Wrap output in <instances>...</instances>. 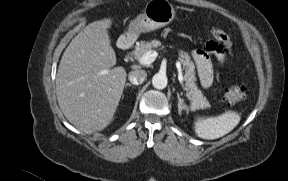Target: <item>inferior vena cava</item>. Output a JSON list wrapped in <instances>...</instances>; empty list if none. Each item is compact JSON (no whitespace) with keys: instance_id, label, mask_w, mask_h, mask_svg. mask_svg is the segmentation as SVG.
I'll return each instance as SVG.
<instances>
[{"instance_id":"inferior-vena-cava-1","label":"inferior vena cava","mask_w":288,"mask_h":181,"mask_svg":"<svg viewBox=\"0 0 288 181\" xmlns=\"http://www.w3.org/2000/svg\"><path fill=\"white\" fill-rule=\"evenodd\" d=\"M147 77V73L145 70H133L129 72L128 79L134 85H139L144 82Z\"/></svg>"}]
</instances>
